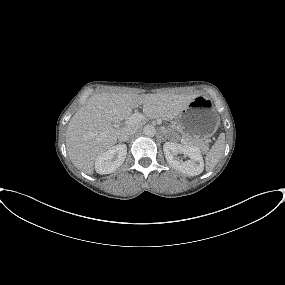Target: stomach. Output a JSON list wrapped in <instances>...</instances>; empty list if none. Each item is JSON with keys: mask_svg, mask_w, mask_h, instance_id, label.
I'll return each instance as SVG.
<instances>
[{"mask_svg": "<svg viewBox=\"0 0 285 285\" xmlns=\"http://www.w3.org/2000/svg\"><path fill=\"white\" fill-rule=\"evenodd\" d=\"M179 130L193 139H207L219 127L220 118L213 102L202 95L193 99L176 117Z\"/></svg>", "mask_w": 285, "mask_h": 285, "instance_id": "stomach-1", "label": "stomach"}]
</instances>
